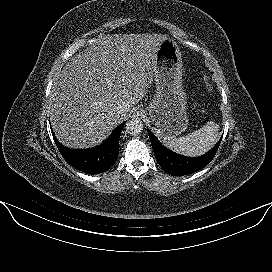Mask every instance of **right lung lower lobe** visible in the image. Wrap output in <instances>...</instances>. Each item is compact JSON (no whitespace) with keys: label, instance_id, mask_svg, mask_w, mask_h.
I'll return each instance as SVG.
<instances>
[{"label":"right lung lower lobe","instance_id":"1","mask_svg":"<svg viewBox=\"0 0 272 272\" xmlns=\"http://www.w3.org/2000/svg\"><path fill=\"white\" fill-rule=\"evenodd\" d=\"M124 124L125 122L120 124L105 143L99 147L88 150H73L65 148L55 137L53 138L62 157L72 167L88 174H99L110 169V167L116 162L118 157L119 139Z\"/></svg>","mask_w":272,"mask_h":272}]
</instances>
